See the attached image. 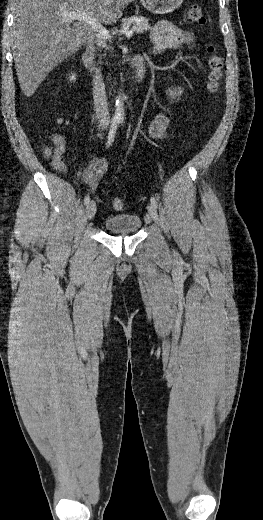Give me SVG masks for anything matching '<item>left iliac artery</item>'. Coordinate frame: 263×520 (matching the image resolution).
I'll list each match as a JSON object with an SVG mask.
<instances>
[{
    "instance_id": "1",
    "label": "left iliac artery",
    "mask_w": 263,
    "mask_h": 520,
    "mask_svg": "<svg viewBox=\"0 0 263 520\" xmlns=\"http://www.w3.org/2000/svg\"><path fill=\"white\" fill-rule=\"evenodd\" d=\"M150 201H151V204H153L155 207H157V201L154 197H151Z\"/></svg>"
}]
</instances>
